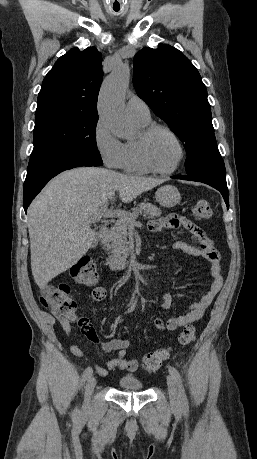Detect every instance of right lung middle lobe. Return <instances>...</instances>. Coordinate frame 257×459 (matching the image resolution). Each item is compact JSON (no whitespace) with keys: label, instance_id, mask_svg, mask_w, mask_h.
<instances>
[{"label":"right lung middle lobe","instance_id":"dd1d6c3e","mask_svg":"<svg viewBox=\"0 0 257 459\" xmlns=\"http://www.w3.org/2000/svg\"><path fill=\"white\" fill-rule=\"evenodd\" d=\"M34 149L31 157L59 151L83 153L102 161L96 147L98 115L51 109L35 113Z\"/></svg>","mask_w":257,"mask_h":459}]
</instances>
